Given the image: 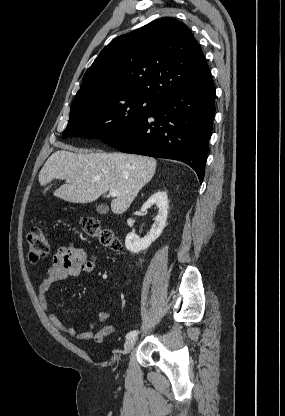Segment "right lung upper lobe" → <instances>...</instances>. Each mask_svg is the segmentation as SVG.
Segmentation results:
<instances>
[{"instance_id": "1", "label": "right lung upper lobe", "mask_w": 285, "mask_h": 416, "mask_svg": "<svg viewBox=\"0 0 285 416\" xmlns=\"http://www.w3.org/2000/svg\"><path fill=\"white\" fill-rule=\"evenodd\" d=\"M212 79L188 27L164 17L115 38L84 74L70 110L142 97L157 104Z\"/></svg>"}]
</instances>
